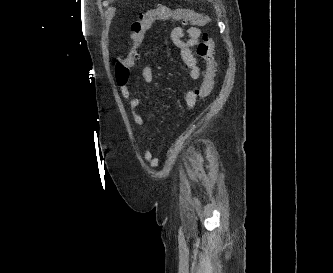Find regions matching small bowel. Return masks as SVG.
<instances>
[{
    "label": "small bowel",
    "mask_w": 333,
    "mask_h": 273,
    "mask_svg": "<svg viewBox=\"0 0 333 273\" xmlns=\"http://www.w3.org/2000/svg\"><path fill=\"white\" fill-rule=\"evenodd\" d=\"M186 25L187 24L177 23V25L171 30V38L175 46L180 50L182 59L189 69L190 78L197 80L201 75V68L199 65V59L194 52V48L198 44L201 37V29L196 24H193L185 29L184 26ZM141 77L145 83H151L154 79L152 69L148 66L142 67ZM120 91L123 98L128 103V109L133 122L140 128L143 134H146L145 121L138 112L140 103L139 96L130 92L127 83L120 85ZM196 101L197 92L194 89L187 91L184 98V108L191 109L196 104ZM144 159L150 166H156L158 163L157 158L154 157L151 150H146L144 152Z\"/></svg>",
    "instance_id": "c3829d8e"
}]
</instances>
